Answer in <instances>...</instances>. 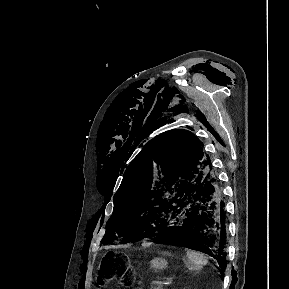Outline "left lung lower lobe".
Listing matches in <instances>:
<instances>
[{
  "mask_svg": "<svg viewBox=\"0 0 289 289\" xmlns=\"http://www.w3.org/2000/svg\"><path fill=\"white\" fill-rule=\"evenodd\" d=\"M225 203L212 168L175 195L168 216L147 237L160 242L166 238L186 240V247L214 257L223 276L226 267Z\"/></svg>",
  "mask_w": 289,
  "mask_h": 289,
  "instance_id": "0a47b994",
  "label": "left lung lower lobe"
}]
</instances>
